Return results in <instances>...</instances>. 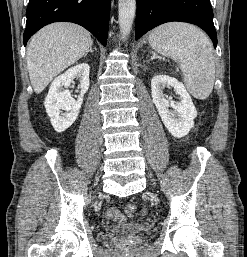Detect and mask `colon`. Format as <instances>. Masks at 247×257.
I'll use <instances>...</instances> for the list:
<instances>
[{
    "label": "colon",
    "instance_id": "5ec220e1",
    "mask_svg": "<svg viewBox=\"0 0 247 257\" xmlns=\"http://www.w3.org/2000/svg\"><path fill=\"white\" fill-rule=\"evenodd\" d=\"M136 210H137L136 205L130 203V204L126 205L124 213H121L116 208L108 209L107 212H106V217L108 219H111V220L120 221V220H123L125 218L132 217L136 213Z\"/></svg>",
    "mask_w": 247,
    "mask_h": 257
}]
</instances>
